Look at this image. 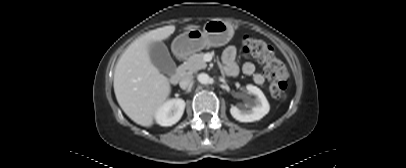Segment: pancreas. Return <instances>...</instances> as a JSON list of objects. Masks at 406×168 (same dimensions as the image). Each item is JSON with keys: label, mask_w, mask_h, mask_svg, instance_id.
<instances>
[{"label": "pancreas", "mask_w": 406, "mask_h": 168, "mask_svg": "<svg viewBox=\"0 0 406 168\" xmlns=\"http://www.w3.org/2000/svg\"><path fill=\"white\" fill-rule=\"evenodd\" d=\"M203 56L204 53L191 55L186 62L179 66L180 73H195L198 70L205 69L207 64L204 61Z\"/></svg>", "instance_id": "pancreas-1"}]
</instances>
